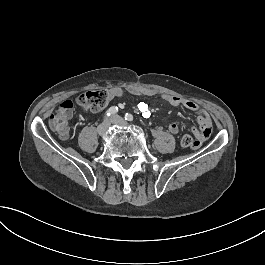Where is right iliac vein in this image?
Masks as SVG:
<instances>
[{"label": "right iliac vein", "mask_w": 265, "mask_h": 265, "mask_svg": "<svg viewBox=\"0 0 265 265\" xmlns=\"http://www.w3.org/2000/svg\"><path fill=\"white\" fill-rule=\"evenodd\" d=\"M110 124L109 121H105L102 124H100L98 126V133L101 136H106L108 134V128H109Z\"/></svg>", "instance_id": "right-iliac-vein-1"}]
</instances>
